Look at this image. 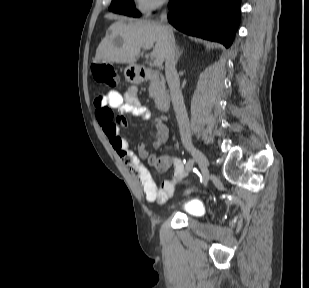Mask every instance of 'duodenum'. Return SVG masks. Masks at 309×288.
<instances>
[{"mask_svg": "<svg viewBox=\"0 0 309 288\" xmlns=\"http://www.w3.org/2000/svg\"><path fill=\"white\" fill-rule=\"evenodd\" d=\"M139 77L141 80H145L149 77V71L146 68H141L139 70ZM158 105L162 111H166L170 105V97L167 94L161 95L158 98Z\"/></svg>", "mask_w": 309, "mask_h": 288, "instance_id": "obj_1", "label": "duodenum"}]
</instances>
